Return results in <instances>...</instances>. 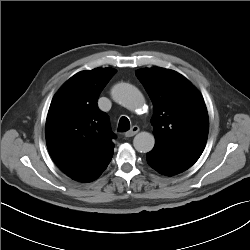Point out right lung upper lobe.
<instances>
[{"label": "right lung upper lobe", "mask_w": 250, "mask_h": 250, "mask_svg": "<svg viewBox=\"0 0 250 250\" xmlns=\"http://www.w3.org/2000/svg\"><path fill=\"white\" fill-rule=\"evenodd\" d=\"M116 73L95 68L72 76L55 94L46 120V143L56 165L74 179L113 153L115 135L97 100Z\"/></svg>", "instance_id": "right-lung-upper-lobe-1"}]
</instances>
